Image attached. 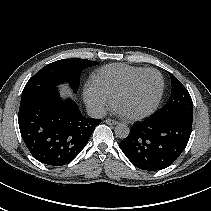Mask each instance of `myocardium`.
<instances>
[{
	"instance_id": "myocardium-1",
	"label": "myocardium",
	"mask_w": 211,
	"mask_h": 211,
	"mask_svg": "<svg viewBox=\"0 0 211 211\" xmlns=\"http://www.w3.org/2000/svg\"><path fill=\"white\" fill-rule=\"evenodd\" d=\"M149 72H155L160 76L161 79V88H160V92L158 94V97L156 99V101L154 102V104L146 111L138 113V114H124L126 118L130 119V120H139L142 118H145L149 115H151L159 106V104L161 103V100L163 98V94H164V90H165V79L163 74L155 69V68H148L145 69L143 71H141L140 73L136 74L134 77H132L123 87H121L113 96V102L115 105H117L118 100L124 96L125 94H127L133 87L134 85L137 83V81L145 74L149 73Z\"/></svg>"
}]
</instances>
